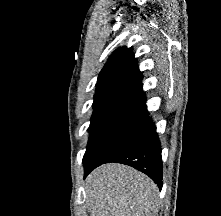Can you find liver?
<instances>
[{"instance_id": "obj_1", "label": "liver", "mask_w": 221, "mask_h": 216, "mask_svg": "<svg viewBox=\"0 0 221 216\" xmlns=\"http://www.w3.org/2000/svg\"><path fill=\"white\" fill-rule=\"evenodd\" d=\"M85 189L91 216H153L158 211L157 185L126 165L96 168L87 177Z\"/></svg>"}]
</instances>
